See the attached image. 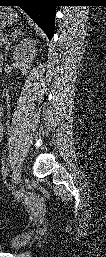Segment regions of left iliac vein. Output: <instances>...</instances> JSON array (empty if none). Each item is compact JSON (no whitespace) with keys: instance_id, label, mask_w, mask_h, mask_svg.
<instances>
[{"instance_id":"1","label":"left iliac vein","mask_w":106,"mask_h":257,"mask_svg":"<svg viewBox=\"0 0 106 257\" xmlns=\"http://www.w3.org/2000/svg\"><path fill=\"white\" fill-rule=\"evenodd\" d=\"M20 180H21V168L19 165H17L13 170V178H12L13 185L18 184Z\"/></svg>"}]
</instances>
